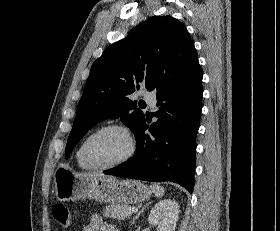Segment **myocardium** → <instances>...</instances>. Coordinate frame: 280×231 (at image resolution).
Masks as SVG:
<instances>
[{"instance_id":"obj_1","label":"myocardium","mask_w":280,"mask_h":231,"mask_svg":"<svg viewBox=\"0 0 280 231\" xmlns=\"http://www.w3.org/2000/svg\"><path fill=\"white\" fill-rule=\"evenodd\" d=\"M107 131H118V132L122 133L127 141V149H126L125 153L122 155V157H120L118 160H116L110 164H107V165H96L89 158L88 149H89L91 142L96 137H98L100 134L107 132ZM134 150H135V144H134L133 138L131 137L128 129L123 125L112 123V124H107V125H104V126L98 128L97 130H95L93 133H91L87 137V139L85 140L83 147H82L81 157H82L83 162L89 168H91L93 170H107V169L117 167V166H120V165L126 163L133 156Z\"/></svg>"}]
</instances>
